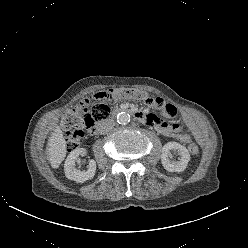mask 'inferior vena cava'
<instances>
[{"label": "inferior vena cava", "mask_w": 248, "mask_h": 248, "mask_svg": "<svg viewBox=\"0 0 248 248\" xmlns=\"http://www.w3.org/2000/svg\"><path fill=\"white\" fill-rule=\"evenodd\" d=\"M115 126L113 119H106L100 123L99 131L101 134H105Z\"/></svg>", "instance_id": "1"}]
</instances>
